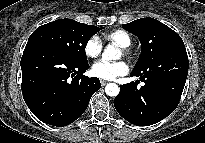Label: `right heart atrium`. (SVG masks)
<instances>
[{"label": "right heart atrium", "instance_id": "d8ad5b80", "mask_svg": "<svg viewBox=\"0 0 205 143\" xmlns=\"http://www.w3.org/2000/svg\"><path fill=\"white\" fill-rule=\"evenodd\" d=\"M103 49V43L100 40L99 37L93 35L87 39V41L84 44V54L89 59H95L97 58Z\"/></svg>", "mask_w": 205, "mask_h": 143}]
</instances>
